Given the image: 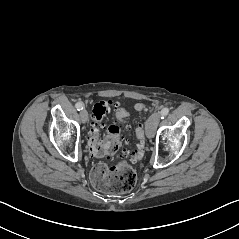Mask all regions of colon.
<instances>
[{"mask_svg":"<svg viewBox=\"0 0 239 239\" xmlns=\"http://www.w3.org/2000/svg\"><path fill=\"white\" fill-rule=\"evenodd\" d=\"M110 106L111 102L109 101H100L94 105L91 128L88 133V146L94 156L104 157L115 154L118 156V160L110 166L103 163L95 165L91 172V180L94 186L101 191L122 194L129 192L137 180L134 168L124 158L138 160L142 157L145 146V131L142 125L136 128L137 145L135 151L131 154L121 149L123 137L121 128L117 124H110L106 135L100 138L99 132ZM136 109L138 111L148 110L143 103L136 104ZM126 116V111H123L117 113L115 118L118 122H124Z\"/></svg>","mask_w":239,"mask_h":239,"instance_id":"1","label":"colon"}]
</instances>
